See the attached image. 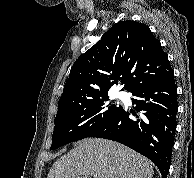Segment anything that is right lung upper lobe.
I'll use <instances>...</instances> for the list:
<instances>
[{"label": "right lung upper lobe", "instance_id": "1", "mask_svg": "<svg viewBox=\"0 0 194 178\" xmlns=\"http://www.w3.org/2000/svg\"><path fill=\"white\" fill-rule=\"evenodd\" d=\"M172 71L148 26L130 20L116 23L73 64L58 111L107 95L118 82L132 92Z\"/></svg>", "mask_w": 194, "mask_h": 178}]
</instances>
